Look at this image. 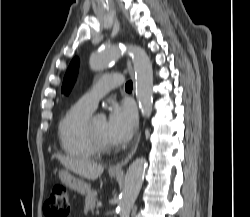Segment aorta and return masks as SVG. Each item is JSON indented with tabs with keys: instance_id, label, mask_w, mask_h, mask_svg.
Wrapping results in <instances>:
<instances>
[{
	"instance_id": "aorta-1",
	"label": "aorta",
	"mask_w": 250,
	"mask_h": 217,
	"mask_svg": "<svg viewBox=\"0 0 250 217\" xmlns=\"http://www.w3.org/2000/svg\"><path fill=\"white\" fill-rule=\"evenodd\" d=\"M124 52H128L133 60L136 97L139 108L144 117L149 118L153 108V68L144 49L138 46L122 48L118 45L106 46L90 57V67L95 71L103 70L107 65L117 60ZM147 161L145 158H137L129 166L118 203L120 217H129L131 208L140 192L144 180Z\"/></svg>"
}]
</instances>
